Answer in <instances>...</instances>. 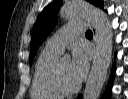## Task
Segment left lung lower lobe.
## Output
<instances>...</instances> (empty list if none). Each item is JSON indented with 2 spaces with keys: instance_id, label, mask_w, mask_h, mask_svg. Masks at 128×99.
I'll list each match as a JSON object with an SVG mask.
<instances>
[{
  "instance_id": "1",
  "label": "left lung lower lobe",
  "mask_w": 128,
  "mask_h": 99,
  "mask_svg": "<svg viewBox=\"0 0 128 99\" xmlns=\"http://www.w3.org/2000/svg\"><path fill=\"white\" fill-rule=\"evenodd\" d=\"M101 8H103V3H101L99 5ZM115 71V67L113 66L112 68V74H111V77L109 79V82H108V85H107V90L106 92L104 93L102 99H110V95H111V86H112V82H113V73ZM82 97V95H79L78 98L80 99Z\"/></svg>"
}]
</instances>
